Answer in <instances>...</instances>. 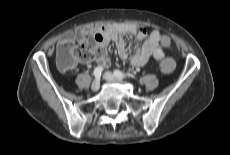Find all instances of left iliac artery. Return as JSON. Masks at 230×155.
I'll return each instance as SVG.
<instances>
[{
  "label": "left iliac artery",
  "mask_w": 230,
  "mask_h": 155,
  "mask_svg": "<svg viewBox=\"0 0 230 155\" xmlns=\"http://www.w3.org/2000/svg\"><path fill=\"white\" fill-rule=\"evenodd\" d=\"M114 75L116 76V77H119V78H126L127 77V75H125L123 72H121L120 70H115L114 71Z\"/></svg>",
  "instance_id": "obj_1"
}]
</instances>
